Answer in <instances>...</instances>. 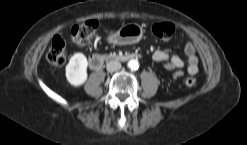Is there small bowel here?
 Returning a JSON list of instances; mask_svg holds the SVG:
<instances>
[{"label": "small bowel", "instance_id": "1", "mask_svg": "<svg viewBox=\"0 0 247 145\" xmlns=\"http://www.w3.org/2000/svg\"><path fill=\"white\" fill-rule=\"evenodd\" d=\"M185 61L178 55L169 54L163 50H156L152 54V59L156 62H164L168 70L182 68L187 65V72L195 75L198 72V58L196 55L195 46L192 43H187L184 47Z\"/></svg>", "mask_w": 247, "mask_h": 145}]
</instances>
